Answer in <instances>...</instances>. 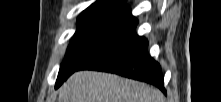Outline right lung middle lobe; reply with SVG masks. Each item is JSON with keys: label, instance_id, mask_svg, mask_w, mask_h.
<instances>
[{"label": "right lung middle lobe", "instance_id": "1", "mask_svg": "<svg viewBox=\"0 0 221 102\" xmlns=\"http://www.w3.org/2000/svg\"><path fill=\"white\" fill-rule=\"evenodd\" d=\"M136 22L128 8H115L105 4L88 7L78 18V27L61 64L57 81L70 76L86 60Z\"/></svg>", "mask_w": 221, "mask_h": 102}]
</instances>
